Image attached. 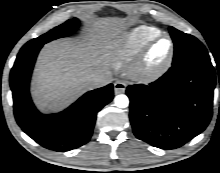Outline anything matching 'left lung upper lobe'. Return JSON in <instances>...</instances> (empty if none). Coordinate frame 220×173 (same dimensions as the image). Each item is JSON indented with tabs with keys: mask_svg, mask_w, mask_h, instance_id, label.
<instances>
[{
	"mask_svg": "<svg viewBox=\"0 0 220 173\" xmlns=\"http://www.w3.org/2000/svg\"><path fill=\"white\" fill-rule=\"evenodd\" d=\"M169 32L175 45L174 58L172 64H178L191 59H209L204 45L194 36L183 33L173 27Z\"/></svg>",
	"mask_w": 220,
	"mask_h": 173,
	"instance_id": "left-lung-upper-lobe-1",
	"label": "left lung upper lobe"
}]
</instances>
